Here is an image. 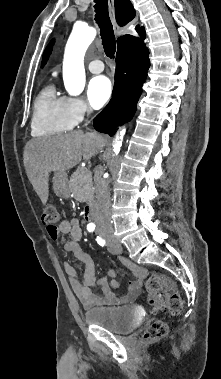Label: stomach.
Segmentation results:
<instances>
[{
  "label": "stomach",
  "mask_w": 221,
  "mask_h": 379,
  "mask_svg": "<svg viewBox=\"0 0 221 379\" xmlns=\"http://www.w3.org/2000/svg\"><path fill=\"white\" fill-rule=\"evenodd\" d=\"M53 188L57 195L63 197L69 196L68 179L65 171L55 172L53 177Z\"/></svg>",
  "instance_id": "1"
}]
</instances>
